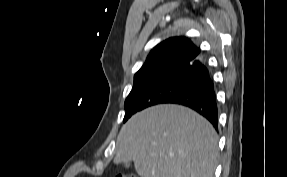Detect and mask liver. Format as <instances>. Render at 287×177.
<instances>
[{
    "mask_svg": "<svg viewBox=\"0 0 287 177\" xmlns=\"http://www.w3.org/2000/svg\"><path fill=\"white\" fill-rule=\"evenodd\" d=\"M217 158L213 126L189 108L163 104L122 126L114 162L133 161L140 177H213Z\"/></svg>",
    "mask_w": 287,
    "mask_h": 177,
    "instance_id": "liver-1",
    "label": "liver"
}]
</instances>
